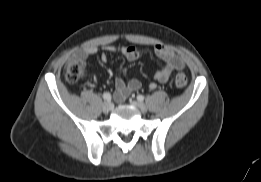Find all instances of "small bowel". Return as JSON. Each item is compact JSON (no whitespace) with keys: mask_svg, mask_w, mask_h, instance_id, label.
Listing matches in <instances>:
<instances>
[{"mask_svg":"<svg viewBox=\"0 0 261 182\" xmlns=\"http://www.w3.org/2000/svg\"><path fill=\"white\" fill-rule=\"evenodd\" d=\"M99 47L96 45L86 46L73 55V59L85 64L87 58L99 52ZM156 55L163 60L164 65L161 69L157 70L154 75V80L160 83H165L169 80L174 71L181 70L184 67V60L173 49L164 45H156ZM108 53H120L127 60L135 61L142 55V49L136 46H113L106 45L102 47L101 61L106 62ZM115 98L119 101L124 100L131 92L139 90L141 88V82L138 79H131L129 82H125L122 78L116 77L115 81ZM156 84L152 82L149 84L150 89H155Z\"/></svg>","mask_w":261,"mask_h":182,"instance_id":"obj_1","label":"small bowel"}]
</instances>
